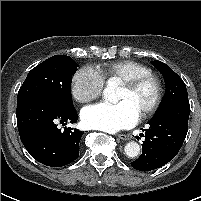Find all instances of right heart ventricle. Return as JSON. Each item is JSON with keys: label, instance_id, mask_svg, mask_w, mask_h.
I'll return each mask as SVG.
<instances>
[{"label": "right heart ventricle", "instance_id": "1", "mask_svg": "<svg viewBox=\"0 0 201 201\" xmlns=\"http://www.w3.org/2000/svg\"><path fill=\"white\" fill-rule=\"evenodd\" d=\"M99 72L107 81L119 82L151 73L147 66L132 60H120L106 63L100 68Z\"/></svg>", "mask_w": 201, "mask_h": 201}]
</instances>
